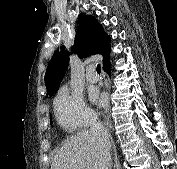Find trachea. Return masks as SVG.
<instances>
[{
	"label": "trachea",
	"instance_id": "obj_1",
	"mask_svg": "<svg viewBox=\"0 0 177 169\" xmlns=\"http://www.w3.org/2000/svg\"><path fill=\"white\" fill-rule=\"evenodd\" d=\"M96 71H97V73H101V67H100L99 64H98L97 67H96Z\"/></svg>",
	"mask_w": 177,
	"mask_h": 169
}]
</instances>
